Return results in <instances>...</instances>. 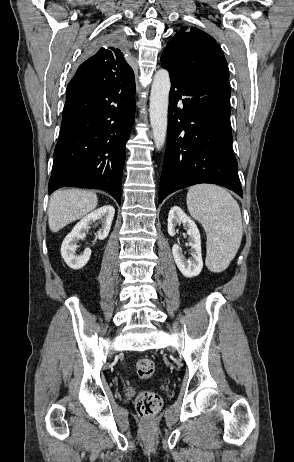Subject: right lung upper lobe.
Segmentation results:
<instances>
[{"label": "right lung upper lobe", "instance_id": "obj_1", "mask_svg": "<svg viewBox=\"0 0 294 462\" xmlns=\"http://www.w3.org/2000/svg\"><path fill=\"white\" fill-rule=\"evenodd\" d=\"M134 76L119 49L103 47L82 63L67 87L69 94H88L111 88Z\"/></svg>", "mask_w": 294, "mask_h": 462}]
</instances>
